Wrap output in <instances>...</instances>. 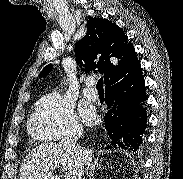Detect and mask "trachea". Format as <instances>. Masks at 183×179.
I'll use <instances>...</instances> for the list:
<instances>
[{
	"label": "trachea",
	"instance_id": "obj_1",
	"mask_svg": "<svg viewBox=\"0 0 183 179\" xmlns=\"http://www.w3.org/2000/svg\"><path fill=\"white\" fill-rule=\"evenodd\" d=\"M96 88L98 91H104V88H103V79L100 78L97 82V85H96Z\"/></svg>",
	"mask_w": 183,
	"mask_h": 179
}]
</instances>
